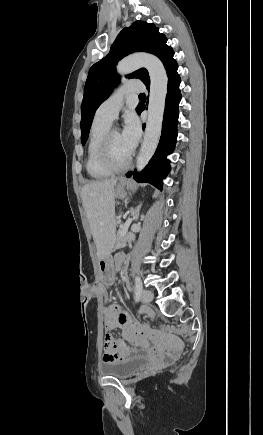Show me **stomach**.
Listing matches in <instances>:
<instances>
[{
  "mask_svg": "<svg viewBox=\"0 0 263 435\" xmlns=\"http://www.w3.org/2000/svg\"><path fill=\"white\" fill-rule=\"evenodd\" d=\"M129 185V181L122 178L120 180V184H118L116 188V196L118 198H124L126 196L125 186ZM99 270L101 272L100 274V281L103 282V286L105 288H112L114 286V282L117 281V274L112 269V263L110 260L109 255L105 256L104 258L100 259L99 261Z\"/></svg>",
  "mask_w": 263,
  "mask_h": 435,
  "instance_id": "obj_1",
  "label": "stomach"
}]
</instances>
